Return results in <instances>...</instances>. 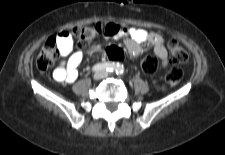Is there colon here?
Instances as JSON below:
<instances>
[{
	"label": "colon",
	"instance_id": "5ec220e1",
	"mask_svg": "<svg viewBox=\"0 0 225 155\" xmlns=\"http://www.w3.org/2000/svg\"><path fill=\"white\" fill-rule=\"evenodd\" d=\"M114 29L108 24L94 23L86 26L76 27L70 35L74 36L81 46L89 45L98 35L113 31ZM170 60L176 66L169 70L165 76L163 84L158 86V89L163 91L167 86L176 85L182 78L183 72L177 66L185 63L188 60V54L183 46L176 40H171L168 43ZM59 54V48L56 44V37L48 38L42 45L40 52L36 58V67L39 71L45 72L51 68ZM107 56L120 62L124 59L125 54L118 48L116 44H109L106 51ZM141 69L145 73L154 74L157 70V63L151 58H147L141 64Z\"/></svg>",
	"mask_w": 225,
	"mask_h": 155
}]
</instances>
